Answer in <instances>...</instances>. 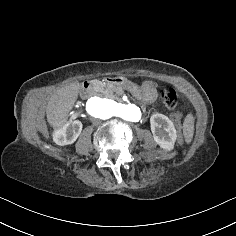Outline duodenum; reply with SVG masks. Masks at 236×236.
<instances>
[{
	"mask_svg": "<svg viewBox=\"0 0 236 236\" xmlns=\"http://www.w3.org/2000/svg\"><path fill=\"white\" fill-rule=\"evenodd\" d=\"M102 81L105 82V83L116 85V84L123 83V78L120 77V76H110V77L104 78ZM97 83H98V81H86V82H84L82 87H81L82 96H87Z\"/></svg>",
	"mask_w": 236,
	"mask_h": 236,
	"instance_id": "410a0bca",
	"label": "duodenum"
}]
</instances>
